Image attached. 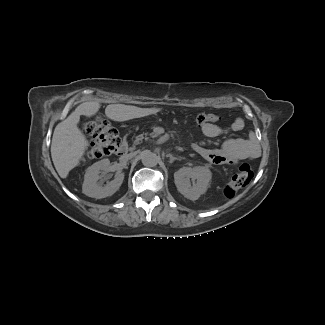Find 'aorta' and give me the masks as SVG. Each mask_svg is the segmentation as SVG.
<instances>
[{
    "instance_id": "1",
    "label": "aorta",
    "mask_w": 325,
    "mask_h": 325,
    "mask_svg": "<svg viewBox=\"0 0 325 325\" xmlns=\"http://www.w3.org/2000/svg\"><path fill=\"white\" fill-rule=\"evenodd\" d=\"M142 164L146 167H154L159 161V157L156 153L149 150H145L141 153Z\"/></svg>"
}]
</instances>
